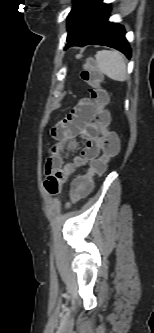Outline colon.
<instances>
[{
	"label": "colon",
	"mask_w": 154,
	"mask_h": 333,
	"mask_svg": "<svg viewBox=\"0 0 154 333\" xmlns=\"http://www.w3.org/2000/svg\"><path fill=\"white\" fill-rule=\"evenodd\" d=\"M81 79L90 87V97L96 104L97 112L95 120L102 132V154L89 163L87 171L77 176L70 186V203H76L87 196L93 187L94 177L106 171L108 162L115 157L120 149L118 135L109 129L111 116L105 108L108 103V94L101 87L102 73L89 60L82 72Z\"/></svg>",
	"instance_id": "colon-1"
}]
</instances>
